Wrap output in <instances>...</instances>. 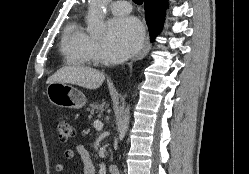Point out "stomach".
Masks as SVG:
<instances>
[{"instance_id": "obj_1", "label": "stomach", "mask_w": 249, "mask_h": 174, "mask_svg": "<svg viewBox=\"0 0 249 174\" xmlns=\"http://www.w3.org/2000/svg\"><path fill=\"white\" fill-rule=\"evenodd\" d=\"M46 93L49 101L58 107L79 109L86 103V97L81 91L65 83H50Z\"/></svg>"}]
</instances>
